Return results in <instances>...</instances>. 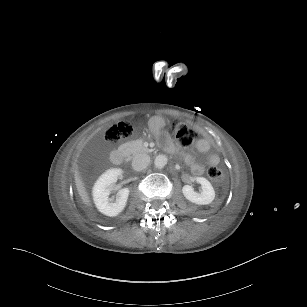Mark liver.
<instances>
[{"label":"liver","mask_w":307,"mask_h":307,"mask_svg":"<svg viewBox=\"0 0 307 307\" xmlns=\"http://www.w3.org/2000/svg\"><path fill=\"white\" fill-rule=\"evenodd\" d=\"M74 179H75V185H76L78 194L81 197L82 202L87 206H91L90 197L88 195V192L86 191V188H85L84 183H83V181H82V179L79 175L78 170H75Z\"/></svg>","instance_id":"obj_1"}]
</instances>
